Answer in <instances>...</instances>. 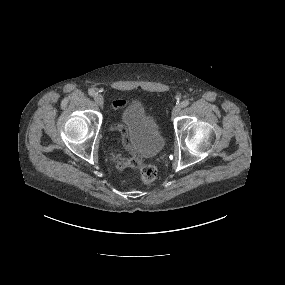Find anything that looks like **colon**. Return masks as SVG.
<instances>
[{
  "label": "colon",
  "mask_w": 285,
  "mask_h": 285,
  "mask_svg": "<svg viewBox=\"0 0 285 285\" xmlns=\"http://www.w3.org/2000/svg\"><path fill=\"white\" fill-rule=\"evenodd\" d=\"M138 163L139 162L137 159L128 160V164L130 165V167H135L138 165ZM140 175H141V179L143 180V182L150 183L156 179L157 170L155 166L150 165V164H145L141 166Z\"/></svg>",
  "instance_id": "5ec220e1"
}]
</instances>
